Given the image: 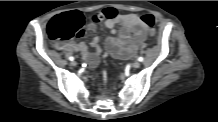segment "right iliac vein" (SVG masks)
I'll return each instance as SVG.
<instances>
[{
	"instance_id": "63e3f726",
	"label": "right iliac vein",
	"mask_w": 218,
	"mask_h": 122,
	"mask_svg": "<svg viewBox=\"0 0 218 122\" xmlns=\"http://www.w3.org/2000/svg\"><path fill=\"white\" fill-rule=\"evenodd\" d=\"M71 65H72V66H76V65H77V62H76V61H72V62H71Z\"/></svg>"
}]
</instances>
